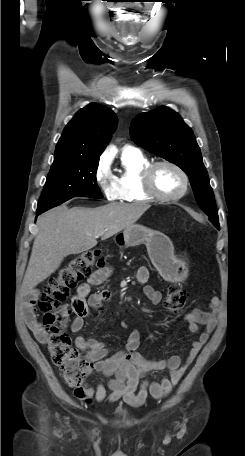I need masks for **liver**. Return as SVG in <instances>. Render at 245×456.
Returning <instances> with one entry per match:
<instances>
[{"mask_svg": "<svg viewBox=\"0 0 245 456\" xmlns=\"http://www.w3.org/2000/svg\"><path fill=\"white\" fill-rule=\"evenodd\" d=\"M150 208L147 203H110L96 208L66 205L38 217V234L23 279V296L54 273L64 257L79 254L132 226Z\"/></svg>", "mask_w": 245, "mask_h": 456, "instance_id": "obj_1", "label": "liver"}]
</instances>
